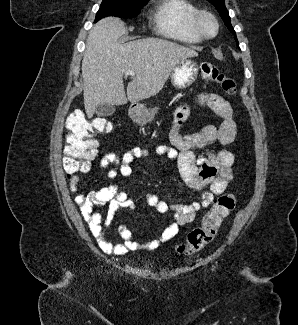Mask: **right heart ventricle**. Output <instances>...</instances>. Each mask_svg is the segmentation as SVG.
Wrapping results in <instances>:
<instances>
[{
  "label": "right heart ventricle",
  "mask_w": 298,
  "mask_h": 325,
  "mask_svg": "<svg viewBox=\"0 0 298 325\" xmlns=\"http://www.w3.org/2000/svg\"><path fill=\"white\" fill-rule=\"evenodd\" d=\"M198 12V7L187 1H167L160 4L153 15L156 36L173 37L181 45L200 44L203 39L192 26Z\"/></svg>",
  "instance_id": "right-heart-ventricle-1"
}]
</instances>
